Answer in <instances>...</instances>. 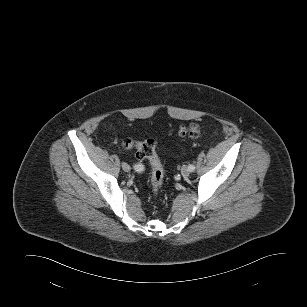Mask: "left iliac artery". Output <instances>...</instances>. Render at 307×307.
<instances>
[{"label":"left iliac artery","mask_w":307,"mask_h":307,"mask_svg":"<svg viewBox=\"0 0 307 307\" xmlns=\"http://www.w3.org/2000/svg\"><path fill=\"white\" fill-rule=\"evenodd\" d=\"M188 167H189V170H190L191 172H193V171L195 170V166L192 165V164H190Z\"/></svg>","instance_id":"44dca946"}]
</instances>
